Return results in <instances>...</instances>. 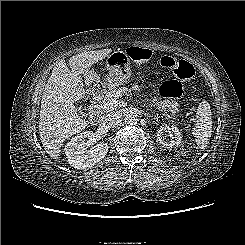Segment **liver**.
Returning a JSON list of instances; mask_svg holds the SVG:
<instances>
[{
  "label": "liver",
  "instance_id": "liver-1",
  "mask_svg": "<svg viewBox=\"0 0 245 245\" xmlns=\"http://www.w3.org/2000/svg\"><path fill=\"white\" fill-rule=\"evenodd\" d=\"M111 49L85 51L69 59L58 60L46 83L41 99L39 134L46 153L58 159L63 142L85 130L89 121L77 113L74 102L83 99L87 91L80 76L92 65L106 58Z\"/></svg>",
  "mask_w": 245,
  "mask_h": 245
}]
</instances>
